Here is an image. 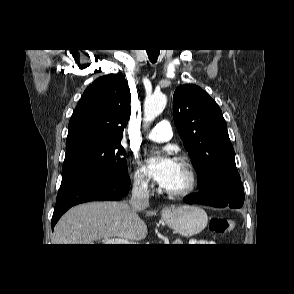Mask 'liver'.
Instances as JSON below:
<instances>
[{"instance_id": "obj_1", "label": "liver", "mask_w": 294, "mask_h": 294, "mask_svg": "<svg viewBox=\"0 0 294 294\" xmlns=\"http://www.w3.org/2000/svg\"><path fill=\"white\" fill-rule=\"evenodd\" d=\"M145 208L142 209V211ZM147 225L125 202H89L67 211L54 228L53 244H94L108 238L138 241Z\"/></svg>"}]
</instances>
